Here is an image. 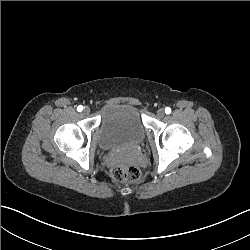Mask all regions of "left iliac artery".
I'll return each instance as SVG.
<instances>
[{
	"label": "left iliac artery",
	"mask_w": 250,
	"mask_h": 250,
	"mask_svg": "<svg viewBox=\"0 0 250 250\" xmlns=\"http://www.w3.org/2000/svg\"><path fill=\"white\" fill-rule=\"evenodd\" d=\"M165 112H166V114H170V113H171V108L166 107V108H165Z\"/></svg>",
	"instance_id": "44dca946"
}]
</instances>
